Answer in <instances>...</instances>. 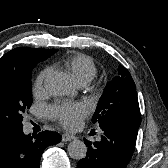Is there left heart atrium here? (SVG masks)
<instances>
[{"instance_id":"left-heart-atrium-1","label":"left heart atrium","mask_w":168,"mask_h":168,"mask_svg":"<svg viewBox=\"0 0 168 168\" xmlns=\"http://www.w3.org/2000/svg\"><path fill=\"white\" fill-rule=\"evenodd\" d=\"M50 116L68 129L80 126L82 119L87 115V107L83 103H63L50 108Z\"/></svg>"}]
</instances>
